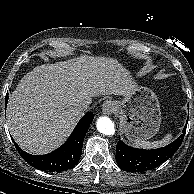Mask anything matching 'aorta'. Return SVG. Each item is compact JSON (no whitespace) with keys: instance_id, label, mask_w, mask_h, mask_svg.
<instances>
[{"instance_id":"obj_1","label":"aorta","mask_w":194,"mask_h":194,"mask_svg":"<svg viewBox=\"0 0 194 194\" xmlns=\"http://www.w3.org/2000/svg\"><path fill=\"white\" fill-rule=\"evenodd\" d=\"M97 129L105 135H113L115 133L114 123L106 116L99 117L96 122Z\"/></svg>"}]
</instances>
